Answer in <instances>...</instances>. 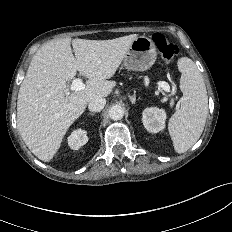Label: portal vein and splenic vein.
<instances>
[{"label":"portal vein and splenic vein","instance_id":"obj_1","mask_svg":"<svg viewBox=\"0 0 232 232\" xmlns=\"http://www.w3.org/2000/svg\"><path fill=\"white\" fill-rule=\"evenodd\" d=\"M158 86L165 92H170V86L167 82L161 81L158 83ZM84 89H85V84L83 83L81 78L74 79L72 81V84L70 85L71 91H81ZM67 95H69V92H67Z\"/></svg>","mask_w":232,"mask_h":232}]
</instances>
